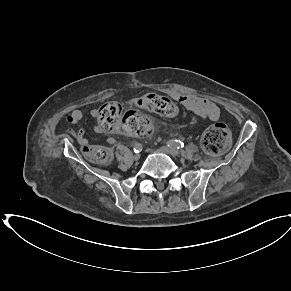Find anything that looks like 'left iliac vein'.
<instances>
[{
	"mask_svg": "<svg viewBox=\"0 0 291 291\" xmlns=\"http://www.w3.org/2000/svg\"><path fill=\"white\" fill-rule=\"evenodd\" d=\"M158 152H161V153H164V154H168V155H171V156H179L180 155V152L177 149L171 148V147H167V146L160 147L158 149Z\"/></svg>",
	"mask_w": 291,
	"mask_h": 291,
	"instance_id": "left-iliac-vein-1",
	"label": "left iliac vein"
}]
</instances>
